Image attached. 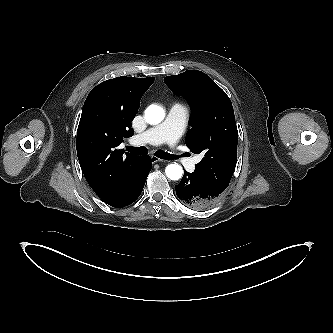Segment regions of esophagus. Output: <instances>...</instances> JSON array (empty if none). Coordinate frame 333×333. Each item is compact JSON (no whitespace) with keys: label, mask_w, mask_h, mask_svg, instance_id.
<instances>
[{"label":"esophagus","mask_w":333,"mask_h":333,"mask_svg":"<svg viewBox=\"0 0 333 333\" xmlns=\"http://www.w3.org/2000/svg\"><path fill=\"white\" fill-rule=\"evenodd\" d=\"M152 163H157V162H165L163 159H160L156 156H151L150 157Z\"/></svg>","instance_id":"1"}]
</instances>
